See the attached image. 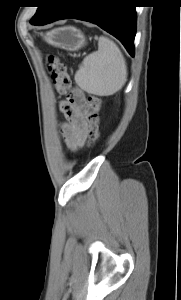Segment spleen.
<instances>
[{
  "label": "spleen",
  "mask_w": 181,
  "mask_h": 300,
  "mask_svg": "<svg viewBox=\"0 0 181 300\" xmlns=\"http://www.w3.org/2000/svg\"><path fill=\"white\" fill-rule=\"evenodd\" d=\"M76 84L87 93L109 96L127 81V66L119 47L105 36L98 40V51L86 56L75 74Z\"/></svg>",
  "instance_id": "3e777b00"
}]
</instances>
